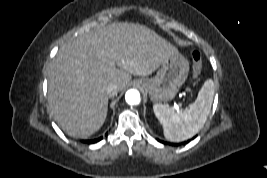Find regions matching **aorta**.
<instances>
[{
	"instance_id": "762f6f07",
	"label": "aorta",
	"mask_w": 267,
	"mask_h": 178,
	"mask_svg": "<svg viewBox=\"0 0 267 178\" xmlns=\"http://www.w3.org/2000/svg\"><path fill=\"white\" fill-rule=\"evenodd\" d=\"M125 100L129 105H138L141 101L140 93L136 89H130L125 94Z\"/></svg>"
}]
</instances>
